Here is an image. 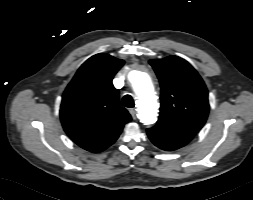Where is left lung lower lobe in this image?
I'll return each mask as SVG.
<instances>
[{
  "instance_id": "left-lung-lower-lobe-1",
  "label": "left lung lower lobe",
  "mask_w": 253,
  "mask_h": 200,
  "mask_svg": "<svg viewBox=\"0 0 253 200\" xmlns=\"http://www.w3.org/2000/svg\"><path fill=\"white\" fill-rule=\"evenodd\" d=\"M147 134L157 147L166 151H173L185 146L195 136L191 132L157 124L147 129Z\"/></svg>"
}]
</instances>
